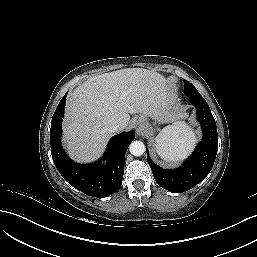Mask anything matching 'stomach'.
Listing matches in <instances>:
<instances>
[{
    "label": "stomach",
    "mask_w": 257,
    "mask_h": 257,
    "mask_svg": "<svg viewBox=\"0 0 257 257\" xmlns=\"http://www.w3.org/2000/svg\"><path fill=\"white\" fill-rule=\"evenodd\" d=\"M139 119L143 121V129L147 134H152L155 130L152 124L149 122L150 119L154 121L162 120V118L158 115H147V114L140 115Z\"/></svg>",
    "instance_id": "stomach-1"
}]
</instances>
